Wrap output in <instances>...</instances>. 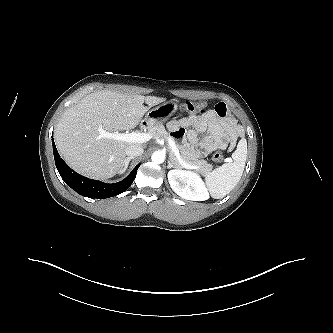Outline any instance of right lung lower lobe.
Segmentation results:
<instances>
[{
  "label": "right lung lower lobe",
  "mask_w": 333,
  "mask_h": 333,
  "mask_svg": "<svg viewBox=\"0 0 333 333\" xmlns=\"http://www.w3.org/2000/svg\"><path fill=\"white\" fill-rule=\"evenodd\" d=\"M52 144L55 164L62 179L69 187L85 197L101 199L112 197L124 192L133 183L137 170L140 166V164H138L124 180L118 183L107 184L101 181L86 178L73 171L62 160V158H60L53 139Z\"/></svg>",
  "instance_id": "obj_1"
}]
</instances>
